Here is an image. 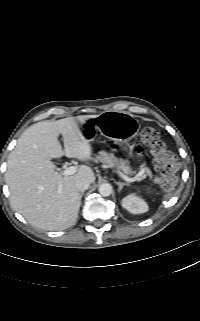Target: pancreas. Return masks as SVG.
Wrapping results in <instances>:
<instances>
[{"instance_id": "1", "label": "pancreas", "mask_w": 200, "mask_h": 321, "mask_svg": "<svg viewBox=\"0 0 200 321\" xmlns=\"http://www.w3.org/2000/svg\"><path fill=\"white\" fill-rule=\"evenodd\" d=\"M94 162H100L108 167L118 169L126 175L134 173L124 160L116 158L113 154L101 153L94 158ZM141 172L144 176L152 177L151 171L148 168H142Z\"/></svg>"}]
</instances>
